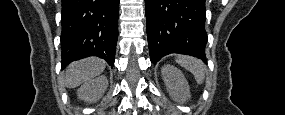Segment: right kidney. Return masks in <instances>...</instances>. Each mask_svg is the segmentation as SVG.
I'll return each instance as SVG.
<instances>
[{
  "mask_svg": "<svg viewBox=\"0 0 285 115\" xmlns=\"http://www.w3.org/2000/svg\"><path fill=\"white\" fill-rule=\"evenodd\" d=\"M108 86L106 76H99L96 79L85 82L78 90V98L84 101H96L105 92Z\"/></svg>",
  "mask_w": 285,
  "mask_h": 115,
  "instance_id": "right-kidney-1",
  "label": "right kidney"
}]
</instances>
